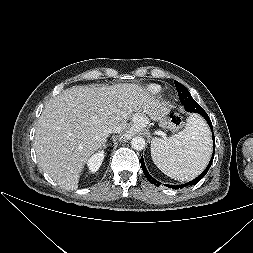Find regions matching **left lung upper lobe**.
Here are the masks:
<instances>
[{"label":"left lung upper lobe","instance_id":"left-lung-upper-lobe-1","mask_svg":"<svg viewBox=\"0 0 253 253\" xmlns=\"http://www.w3.org/2000/svg\"><path fill=\"white\" fill-rule=\"evenodd\" d=\"M181 103L185 106L188 112H194L195 108L199 105L190 95L189 91L181 83L174 81Z\"/></svg>","mask_w":253,"mask_h":253}]
</instances>
